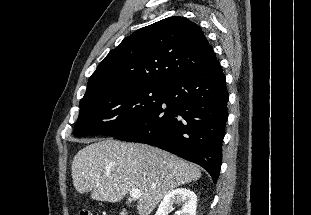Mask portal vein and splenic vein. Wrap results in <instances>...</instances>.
<instances>
[{
	"mask_svg": "<svg viewBox=\"0 0 311 215\" xmlns=\"http://www.w3.org/2000/svg\"><path fill=\"white\" fill-rule=\"evenodd\" d=\"M99 177V176H98ZM141 192L138 189H132L130 191V197L133 199H139L141 197Z\"/></svg>",
	"mask_w": 311,
	"mask_h": 215,
	"instance_id": "18ae733b",
	"label": "portal vein and splenic vein"
}]
</instances>
